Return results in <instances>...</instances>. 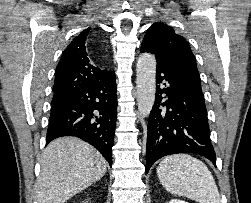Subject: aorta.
I'll list each match as a JSON object with an SVG mask.
<instances>
[{"mask_svg":"<svg viewBox=\"0 0 251 203\" xmlns=\"http://www.w3.org/2000/svg\"><path fill=\"white\" fill-rule=\"evenodd\" d=\"M137 105L140 115L148 117L155 101L156 58L151 53H142L137 60Z\"/></svg>","mask_w":251,"mask_h":203,"instance_id":"aorta-1","label":"aorta"}]
</instances>
